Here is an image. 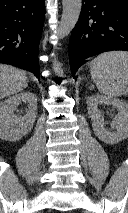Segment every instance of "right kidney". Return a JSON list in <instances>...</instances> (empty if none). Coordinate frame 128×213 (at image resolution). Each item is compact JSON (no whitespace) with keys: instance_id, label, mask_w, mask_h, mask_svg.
Here are the masks:
<instances>
[{"instance_id":"1","label":"right kidney","mask_w":128,"mask_h":213,"mask_svg":"<svg viewBox=\"0 0 128 213\" xmlns=\"http://www.w3.org/2000/svg\"><path fill=\"white\" fill-rule=\"evenodd\" d=\"M28 103L27 113L17 117L14 110L21 103ZM37 114V97L30 91L13 95L0 103V138L6 141H18L28 134Z\"/></svg>"}]
</instances>
